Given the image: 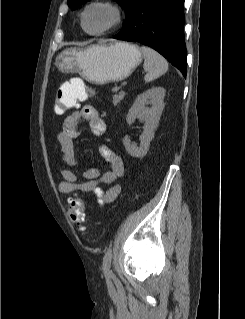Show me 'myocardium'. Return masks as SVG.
Returning <instances> with one entry per match:
<instances>
[{
	"label": "myocardium",
	"mask_w": 245,
	"mask_h": 319,
	"mask_svg": "<svg viewBox=\"0 0 245 319\" xmlns=\"http://www.w3.org/2000/svg\"><path fill=\"white\" fill-rule=\"evenodd\" d=\"M94 8H105V9L109 10L112 14V20L106 27H104L100 30H97V31H90L86 27V16H87L88 12ZM122 20H123L122 8L118 4L111 2L109 0L91 1L90 3H88L84 7L82 14H81L82 29L87 34L92 35V36H100V35H104L106 33L111 32L112 30H114L116 27H118L121 24Z\"/></svg>",
	"instance_id": "myocardium-1"
}]
</instances>
